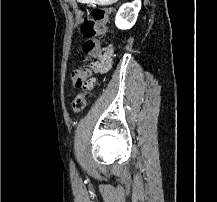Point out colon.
I'll return each mask as SVG.
<instances>
[{"label":"colon","mask_w":217,"mask_h":202,"mask_svg":"<svg viewBox=\"0 0 217 202\" xmlns=\"http://www.w3.org/2000/svg\"><path fill=\"white\" fill-rule=\"evenodd\" d=\"M110 11L105 8H94L84 17L80 30L85 40L82 45V55L85 59L91 58L96 53L98 41L96 36L99 34L108 33L106 26ZM88 75L87 67H78L71 73V81L76 87L77 85H84V83L90 80L86 77ZM93 90H88L82 95V99L75 100L73 108L76 112L83 110L86 106V98ZM79 97V96H78Z\"/></svg>","instance_id":"5ec220e1"}]
</instances>
